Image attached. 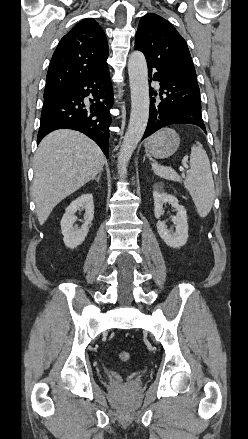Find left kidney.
Listing matches in <instances>:
<instances>
[{
    "label": "left kidney",
    "instance_id": "1",
    "mask_svg": "<svg viewBox=\"0 0 248 439\" xmlns=\"http://www.w3.org/2000/svg\"><path fill=\"white\" fill-rule=\"evenodd\" d=\"M154 214L158 219L157 231L161 239L170 247L180 248L184 246L188 239L187 212L184 206L180 205L178 199L164 191L162 184L153 186ZM170 204L176 211V216L172 217L175 225V232L167 229L165 222L160 218L164 214V204Z\"/></svg>",
    "mask_w": 248,
    "mask_h": 439
}]
</instances>
